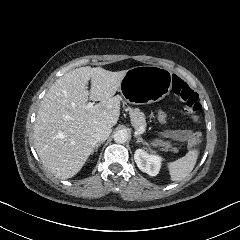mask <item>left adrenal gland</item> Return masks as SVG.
<instances>
[{"mask_svg": "<svg viewBox=\"0 0 240 240\" xmlns=\"http://www.w3.org/2000/svg\"><path fill=\"white\" fill-rule=\"evenodd\" d=\"M134 137L136 138V143L141 142L143 145H149L146 141L143 140L141 136L134 134Z\"/></svg>", "mask_w": 240, "mask_h": 240, "instance_id": "obj_1", "label": "left adrenal gland"}]
</instances>
